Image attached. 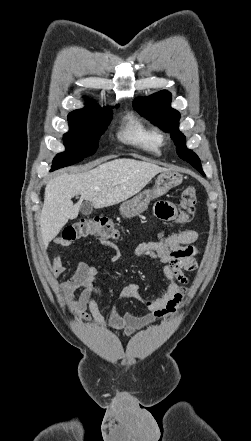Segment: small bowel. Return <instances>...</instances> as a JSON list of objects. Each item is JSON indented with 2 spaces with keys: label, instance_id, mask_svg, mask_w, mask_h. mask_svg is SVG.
<instances>
[{
  "label": "small bowel",
  "instance_id": "c3829d8e",
  "mask_svg": "<svg viewBox=\"0 0 251 441\" xmlns=\"http://www.w3.org/2000/svg\"><path fill=\"white\" fill-rule=\"evenodd\" d=\"M155 214L162 220H174L177 217L175 206L165 201L155 205ZM198 237L197 231L184 230L167 237L164 241L143 242L136 247L137 256L155 259L163 265V273L167 281L166 290L153 299H143L140 287L135 283L128 284L120 291V298H132L144 305L147 313L142 316L130 312L120 313L113 306L106 318L94 298L95 294L102 293V289L96 284L100 273L99 266L79 262L72 275L61 285L63 293L71 300L75 317L83 324H95L133 334L150 325L157 318L175 314L187 292L188 278L185 272L194 271L198 266L194 246ZM100 243L110 245L105 240H100ZM57 244L65 248L72 245L71 242L64 240H59ZM118 259L119 254L115 251L109 261L114 263ZM52 271L58 276L68 271L59 256L53 258Z\"/></svg>",
  "mask_w": 251,
  "mask_h": 441
}]
</instances>
